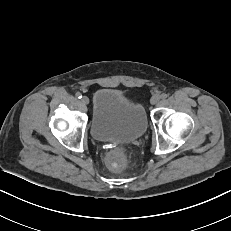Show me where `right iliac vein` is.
Instances as JSON below:
<instances>
[{
	"mask_svg": "<svg viewBox=\"0 0 231 231\" xmlns=\"http://www.w3.org/2000/svg\"><path fill=\"white\" fill-rule=\"evenodd\" d=\"M81 101L83 104H86V105L89 104V98L87 96H83Z\"/></svg>",
	"mask_w": 231,
	"mask_h": 231,
	"instance_id": "obj_1",
	"label": "right iliac vein"
}]
</instances>
